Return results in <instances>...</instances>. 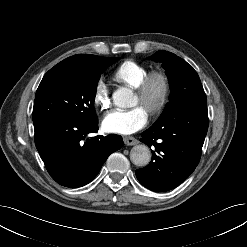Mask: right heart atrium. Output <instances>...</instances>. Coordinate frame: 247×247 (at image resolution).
I'll list each match as a JSON object with an SVG mask.
<instances>
[{
    "label": "right heart atrium",
    "instance_id": "obj_1",
    "mask_svg": "<svg viewBox=\"0 0 247 247\" xmlns=\"http://www.w3.org/2000/svg\"><path fill=\"white\" fill-rule=\"evenodd\" d=\"M93 102L100 111H105L110 107V92L103 79H99L95 85Z\"/></svg>",
    "mask_w": 247,
    "mask_h": 247
}]
</instances>
